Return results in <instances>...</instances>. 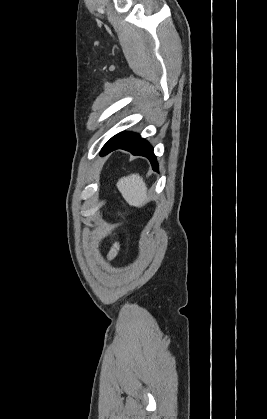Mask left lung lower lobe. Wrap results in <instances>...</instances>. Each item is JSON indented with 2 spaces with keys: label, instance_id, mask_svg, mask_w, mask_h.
Segmentation results:
<instances>
[{
  "label": "left lung lower lobe",
  "instance_id": "1",
  "mask_svg": "<svg viewBox=\"0 0 267 419\" xmlns=\"http://www.w3.org/2000/svg\"><path fill=\"white\" fill-rule=\"evenodd\" d=\"M116 149H124L133 155L147 157L151 162L152 168L158 171V163L153 153V147L139 134L132 132H122L112 137L102 148L101 155L108 154Z\"/></svg>",
  "mask_w": 267,
  "mask_h": 419
}]
</instances>
